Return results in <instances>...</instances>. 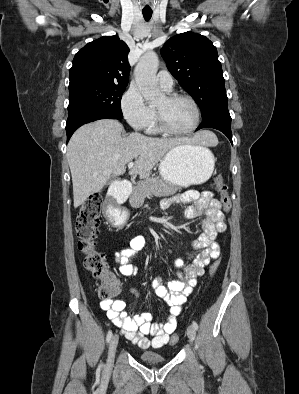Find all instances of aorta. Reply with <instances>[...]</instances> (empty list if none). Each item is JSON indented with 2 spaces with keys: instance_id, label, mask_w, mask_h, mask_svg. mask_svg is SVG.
Masks as SVG:
<instances>
[{
  "instance_id": "1",
  "label": "aorta",
  "mask_w": 299,
  "mask_h": 394,
  "mask_svg": "<svg viewBox=\"0 0 299 394\" xmlns=\"http://www.w3.org/2000/svg\"><path fill=\"white\" fill-rule=\"evenodd\" d=\"M158 65L157 54L148 52L140 58L134 70L137 87L147 102H154L162 96L157 87L156 73Z\"/></svg>"
}]
</instances>
